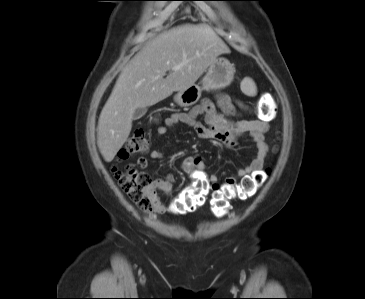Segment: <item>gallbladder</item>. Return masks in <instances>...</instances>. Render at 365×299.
Listing matches in <instances>:
<instances>
[{"label":"gallbladder","mask_w":365,"mask_h":299,"mask_svg":"<svg viewBox=\"0 0 365 299\" xmlns=\"http://www.w3.org/2000/svg\"><path fill=\"white\" fill-rule=\"evenodd\" d=\"M147 112V108H137L133 113V120H138L143 117Z\"/></svg>","instance_id":"gallbladder-1"}]
</instances>
